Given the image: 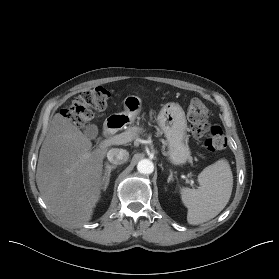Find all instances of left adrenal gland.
Wrapping results in <instances>:
<instances>
[{"label":"left adrenal gland","instance_id":"obj_1","mask_svg":"<svg viewBox=\"0 0 279 279\" xmlns=\"http://www.w3.org/2000/svg\"><path fill=\"white\" fill-rule=\"evenodd\" d=\"M169 172H170V174H169L168 179H167L168 183L174 180L173 179V172L171 170Z\"/></svg>","mask_w":279,"mask_h":279}]
</instances>
